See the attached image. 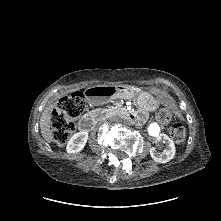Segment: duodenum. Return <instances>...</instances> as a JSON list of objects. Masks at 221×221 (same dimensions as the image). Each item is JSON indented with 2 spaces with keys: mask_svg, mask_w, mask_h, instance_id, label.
I'll use <instances>...</instances> for the list:
<instances>
[{
  "mask_svg": "<svg viewBox=\"0 0 221 221\" xmlns=\"http://www.w3.org/2000/svg\"><path fill=\"white\" fill-rule=\"evenodd\" d=\"M124 94L125 89L122 87H89L85 91V98L89 102L108 103L111 101L112 95L121 96ZM104 112V108H95L90 111L88 114L80 119V130L83 132H89L93 126L95 119ZM114 113L115 115L120 116L123 119H128L133 123H138L141 121V114L134 110H125L121 107H117L115 108Z\"/></svg>",
  "mask_w": 221,
  "mask_h": 221,
  "instance_id": "duodenum-1",
  "label": "duodenum"
}]
</instances>
